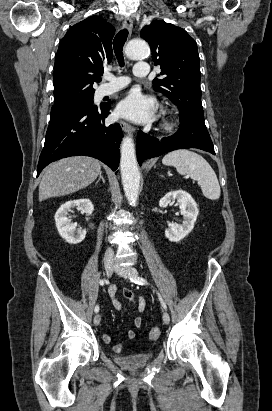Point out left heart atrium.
I'll return each instance as SVG.
<instances>
[{"label": "left heart atrium", "instance_id": "39dd6f15", "mask_svg": "<svg viewBox=\"0 0 272 411\" xmlns=\"http://www.w3.org/2000/svg\"><path fill=\"white\" fill-rule=\"evenodd\" d=\"M153 107L152 99L138 92H131L119 103L117 112L128 119L146 122L152 117Z\"/></svg>", "mask_w": 272, "mask_h": 411}]
</instances>
